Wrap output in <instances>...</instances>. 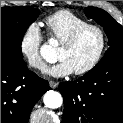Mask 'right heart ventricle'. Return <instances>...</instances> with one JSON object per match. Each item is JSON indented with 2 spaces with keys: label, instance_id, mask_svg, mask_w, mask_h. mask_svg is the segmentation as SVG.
<instances>
[{
  "label": "right heart ventricle",
  "instance_id": "1",
  "mask_svg": "<svg viewBox=\"0 0 123 123\" xmlns=\"http://www.w3.org/2000/svg\"><path fill=\"white\" fill-rule=\"evenodd\" d=\"M43 24L49 37L61 44L75 30L88 25L89 22L69 10H59L47 16Z\"/></svg>",
  "mask_w": 123,
  "mask_h": 123
}]
</instances>
